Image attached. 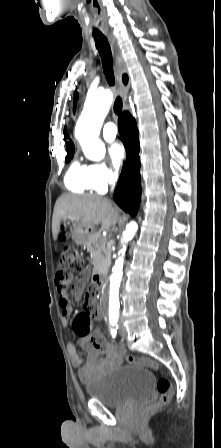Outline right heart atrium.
Wrapping results in <instances>:
<instances>
[{
  "label": "right heart atrium",
  "mask_w": 221,
  "mask_h": 448,
  "mask_svg": "<svg viewBox=\"0 0 221 448\" xmlns=\"http://www.w3.org/2000/svg\"><path fill=\"white\" fill-rule=\"evenodd\" d=\"M88 177L92 188L102 192L117 181L118 174L105 163H94L88 167Z\"/></svg>",
  "instance_id": "right-heart-atrium-1"
}]
</instances>
